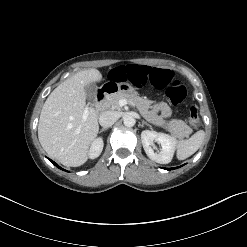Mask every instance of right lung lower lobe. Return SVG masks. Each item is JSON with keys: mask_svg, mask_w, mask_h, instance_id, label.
<instances>
[{"mask_svg": "<svg viewBox=\"0 0 247 247\" xmlns=\"http://www.w3.org/2000/svg\"><path fill=\"white\" fill-rule=\"evenodd\" d=\"M50 160V159H49ZM56 167H58V168H60V169H62L61 167H59L54 161H52V160H50ZM62 170H64V169H62Z\"/></svg>", "mask_w": 247, "mask_h": 247, "instance_id": "1", "label": "right lung lower lobe"}]
</instances>
